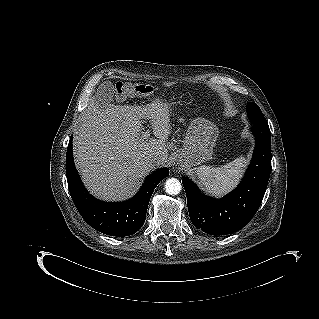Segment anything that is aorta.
<instances>
[{"label": "aorta", "instance_id": "762f6f07", "mask_svg": "<svg viewBox=\"0 0 319 319\" xmlns=\"http://www.w3.org/2000/svg\"><path fill=\"white\" fill-rule=\"evenodd\" d=\"M182 189L181 183L176 178H169L165 182V191L169 195H178Z\"/></svg>", "mask_w": 319, "mask_h": 319}]
</instances>
